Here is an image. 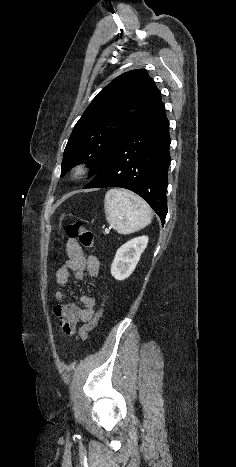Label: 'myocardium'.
Returning a JSON list of instances; mask_svg holds the SVG:
<instances>
[{"instance_id": "obj_1", "label": "myocardium", "mask_w": 236, "mask_h": 467, "mask_svg": "<svg viewBox=\"0 0 236 467\" xmlns=\"http://www.w3.org/2000/svg\"><path fill=\"white\" fill-rule=\"evenodd\" d=\"M89 171V165L86 162H79L73 165L69 171V176L73 180L83 178Z\"/></svg>"}]
</instances>
